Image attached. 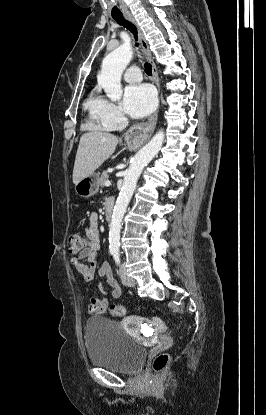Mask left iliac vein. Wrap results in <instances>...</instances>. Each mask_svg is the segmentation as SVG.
<instances>
[{
	"mask_svg": "<svg viewBox=\"0 0 266 415\" xmlns=\"http://www.w3.org/2000/svg\"><path fill=\"white\" fill-rule=\"evenodd\" d=\"M119 275L125 285L129 287H133L135 285V280L128 275L124 266H120Z\"/></svg>",
	"mask_w": 266,
	"mask_h": 415,
	"instance_id": "obj_1",
	"label": "left iliac vein"
}]
</instances>
